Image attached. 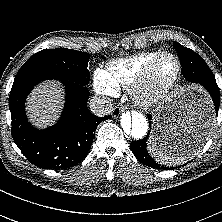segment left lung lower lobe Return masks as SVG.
<instances>
[{
    "instance_id": "left-lung-lower-lobe-1",
    "label": "left lung lower lobe",
    "mask_w": 222,
    "mask_h": 222,
    "mask_svg": "<svg viewBox=\"0 0 222 222\" xmlns=\"http://www.w3.org/2000/svg\"><path fill=\"white\" fill-rule=\"evenodd\" d=\"M182 74L187 81L203 86L210 94L213 103L214 110L210 111L208 115L201 116L186 124L176 136L170 141V148L173 152L189 153L195 151L201 147V145L207 140L211 125L213 122L214 114H218L220 106V93L216 81L208 79V73L205 72L198 62L192 58H181ZM149 119V127L151 128L152 116L147 114ZM150 130L146 137L142 140L133 141L130 143L132 153L143 164L160 169H172L164 167L156 163L149 155L146 149L147 140L149 138Z\"/></svg>"
}]
</instances>
